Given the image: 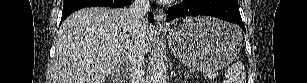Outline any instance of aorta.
<instances>
[{
    "instance_id": "1",
    "label": "aorta",
    "mask_w": 307,
    "mask_h": 83,
    "mask_svg": "<svg viewBox=\"0 0 307 83\" xmlns=\"http://www.w3.org/2000/svg\"><path fill=\"white\" fill-rule=\"evenodd\" d=\"M167 68L161 54L154 56L152 65V81L153 83H166Z\"/></svg>"
}]
</instances>
